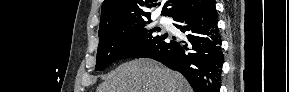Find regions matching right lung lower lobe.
<instances>
[{
  "label": "right lung lower lobe",
  "instance_id": "98d812e1",
  "mask_svg": "<svg viewBox=\"0 0 289 92\" xmlns=\"http://www.w3.org/2000/svg\"><path fill=\"white\" fill-rule=\"evenodd\" d=\"M187 33L185 40H165L146 48L136 58H152L182 73L194 92H218L223 65L215 1L173 18Z\"/></svg>",
  "mask_w": 289,
  "mask_h": 92
}]
</instances>
